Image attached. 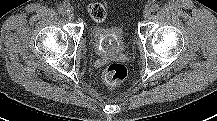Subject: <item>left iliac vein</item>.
<instances>
[{
	"mask_svg": "<svg viewBox=\"0 0 217 121\" xmlns=\"http://www.w3.org/2000/svg\"><path fill=\"white\" fill-rule=\"evenodd\" d=\"M151 16V9L150 8H146L143 12V17L145 19H148Z\"/></svg>",
	"mask_w": 217,
	"mask_h": 121,
	"instance_id": "1",
	"label": "left iliac vein"
}]
</instances>
